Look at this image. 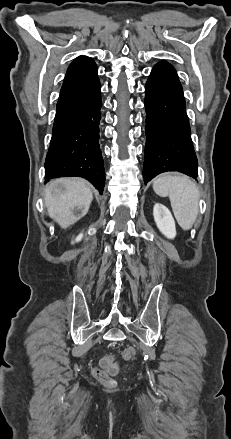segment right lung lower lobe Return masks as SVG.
<instances>
[{
	"mask_svg": "<svg viewBox=\"0 0 231 439\" xmlns=\"http://www.w3.org/2000/svg\"><path fill=\"white\" fill-rule=\"evenodd\" d=\"M100 89L96 75L60 93L45 162L46 181L80 176L89 180L102 194L105 171L99 146Z\"/></svg>",
	"mask_w": 231,
	"mask_h": 439,
	"instance_id": "right-lung-lower-lobe-1",
	"label": "right lung lower lobe"
}]
</instances>
